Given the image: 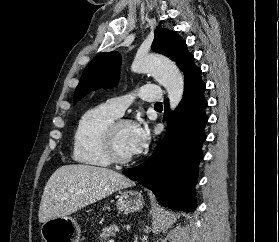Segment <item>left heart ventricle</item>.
Wrapping results in <instances>:
<instances>
[{
	"label": "left heart ventricle",
	"mask_w": 279,
	"mask_h": 242,
	"mask_svg": "<svg viewBox=\"0 0 279 242\" xmlns=\"http://www.w3.org/2000/svg\"><path fill=\"white\" fill-rule=\"evenodd\" d=\"M132 128V125H123L117 130L115 136L116 148L125 157L133 156L130 145Z\"/></svg>",
	"instance_id": "b2bd125f"
}]
</instances>
